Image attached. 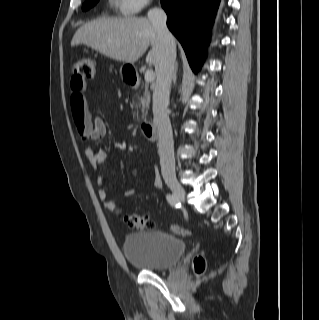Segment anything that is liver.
<instances>
[{
	"label": "liver",
	"instance_id": "liver-1",
	"mask_svg": "<svg viewBox=\"0 0 319 320\" xmlns=\"http://www.w3.org/2000/svg\"><path fill=\"white\" fill-rule=\"evenodd\" d=\"M86 45L106 57L135 63L151 45L146 62L157 68L162 56L159 38L152 23L143 17L101 18L84 24L74 34L71 46Z\"/></svg>",
	"mask_w": 319,
	"mask_h": 320
}]
</instances>
